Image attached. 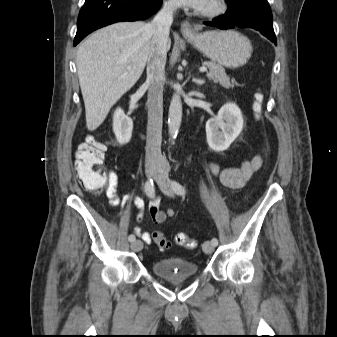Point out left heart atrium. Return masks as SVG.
<instances>
[{
    "mask_svg": "<svg viewBox=\"0 0 337 337\" xmlns=\"http://www.w3.org/2000/svg\"><path fill=\"white\" fill-rule=\"evenodd\" d=\"M176 4L180 6L191 7L194 9H204L210 0H173Z\"/></svg>",
    "mask_w": 337,
    "mask_h": 337,
    "instance_id": "left-heart-atrium-1",
    "label": "left heart atrium"
}]
</instances>
